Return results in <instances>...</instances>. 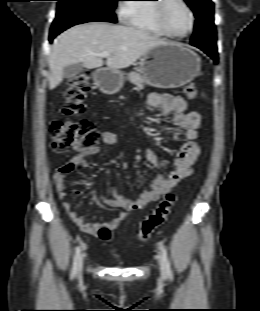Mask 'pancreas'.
I'll return each instance as SVG.
<instances>
[{"instance_id": "obj_1", "label": "pancreas", "mask_w": 260, "mask_h": 311, "mask_svg": "<svg viewBox=\"0 0 260 311\" xmlns=\"http://www.w3.org/2000/svg\"><path fill=\"white\" fill-rule=\"evenodd\" d=\"M127 79L134 85H136L139 89L144 88V83L146 82V78L137 73V72H131L128 74Z\"/></svg>"}]
</instances>
